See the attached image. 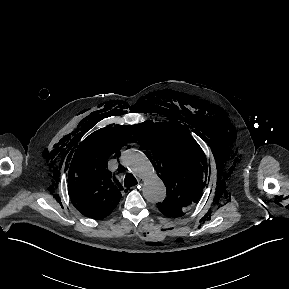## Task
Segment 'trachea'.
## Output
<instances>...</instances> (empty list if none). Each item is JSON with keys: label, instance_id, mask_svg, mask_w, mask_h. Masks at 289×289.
<instances>
[{"label": "trachea", "instance_id": "1", "mask_svg": "<svg viewBox=\"0 0 289 289\" xmlns=\"http://www.w3.org/2000/svg\"><path fill=\"white\" fill-rule=\"evenodd\" d=\"M136 184H137L136 178L130 173L126 174L124 179L125 187L135 186Z\"/></svg>", "mask_w": 289, "mask_h": 289}]
</instances>
